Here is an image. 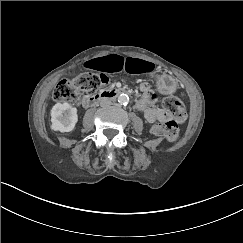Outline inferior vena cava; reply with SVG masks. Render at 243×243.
Listing matches in <instances>:
<instances>
[{
	"mask_svg": "<svg viewBox=\"0 0 243 243\" xmlns=\"http://www.w3.org/2000/svg\"><path fill=\"white\" fill-rule=\"evenodd\" d=\"M111 104H112L111 100H110L109 98H107V97L102 98V99L100 100V106H101V107H108V106H110Z\"/></svg>",
	"mask_w": 243,
	"mask_h": 243,
	"instance_id": "inferior-vena-cava-1",
	"label": "inferior vena cava"
}]
</instances>
